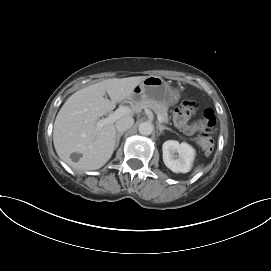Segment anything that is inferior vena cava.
<instances>
[{
  "mask_svg": "<svg viewBox=\"0 0 271 271\" xmlns=\"http://www.w3.org/2000/svg\"><path fill=\"white\" fill-rule=\"evenodd\" d=\"M134 124V119L131 116H125L117 120L116 129L119 133H123L130 129Z\"/></svg>",
  "mask_w": 271,
  "mask_h": 271,
  "instance_id": "obj_1",
  "label": "inferior vena cava"
}]
</instances>
